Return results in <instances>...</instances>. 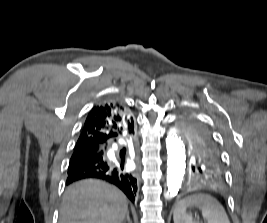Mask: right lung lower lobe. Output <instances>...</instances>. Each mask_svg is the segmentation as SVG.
<instances>
[{"label":"right lung lower lobe","mask_w":267,"mask_h":223,"mask_svg":"<svg viewBox=\"0 0 267 223\" xmlns=\"http://www.w3.org/2000/svg\"><path fill=\"white\" fill-rule=\"evenodd\" d=\"M131 134H134V128L128 132V135ZM107 150L108 145H105L97 151L70 160L66 184L89 178L104 180L119 187L134 202L137 179L131 173L124 172L123 167L113 164L107 157Z\"/></svg>","instance_id":"98d812e1"}]
</instances>
